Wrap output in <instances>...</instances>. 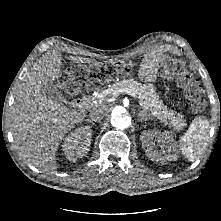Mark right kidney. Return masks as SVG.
I'll use <instances>...</instances> for the list:
<instances>
[{"mask_svg": "<svg viewBox=\"0 0 221 221\" xmlns=\"http://www.w3.org/2000/svg\"><path fill=\"white\" fill-rule=\"evenodd\" d=\"M92 130L90 127H81L68 135L62 145L64 154L69 161H76L85 156L91 144Z\"/></svg>", "mask_w": 221, "mask_h": 221, "instance_id": "right-kidney-1", "label": "right kidney"}]
</instances>
